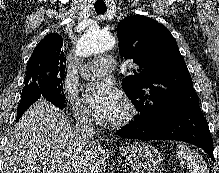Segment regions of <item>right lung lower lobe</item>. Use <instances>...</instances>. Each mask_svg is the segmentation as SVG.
<instances>
[{"label":"right lung lower lobe","mask_w":219,"mask_h":173,"mask_svg":"<svg viewBox=\"0 0 219 173\" xmlns=\"http://www.w3.org/2000/svg\"><path fill=\"white\" fill-rule=\"evenodd\" d=\"M39 98H44L45 100L51 102L54 104L56 107L63 109L64 106H59L56 103H53L52 101L48 100L44 96H42L40 93H30L26 95L21 96L20 103L18 105L17 109V119L16 122L19 120V118L23 115V113L34 103L36 102Z\"/></svg>","instance_id":"right-lung-lower-lobe-1"}]
</instances>
